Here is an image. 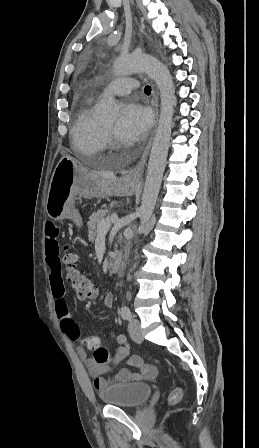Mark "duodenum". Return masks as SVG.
Here are the masks:
<instances>
[{"label":"duodenum","mask_w":259,"mask_h":448,"mask_svg":"<svg viewBox=\"0 0 259 448\" xmlns=\"http://www.w3.org/2000/svg\"><path fill=\"white\" fill-rule=\"evenodd\" d=\"M122 265H123L122 257H121V255H118L111 261L110 271L112 273H118L121 270Z\"/></svg>","instance_id":"obj_1"}]
</instances>
